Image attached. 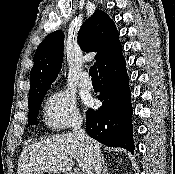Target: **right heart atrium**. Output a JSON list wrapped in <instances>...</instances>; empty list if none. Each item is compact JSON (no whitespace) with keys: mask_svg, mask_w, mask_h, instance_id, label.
Returning a JSON list of instances; mask_svg holds the SVG:
<instances>
[{"mask_svg":"<svg viewBox=\"0 0 175 174\" xmlns=\"http://www.w3.org/2000/svg\"><path fill=\"white\" fill-rule=\"evenodd\" d=\"M44 118L50 129L63 130L79 124L81 114L75 98L65 90H57L44 103Z\"/></svg>","mask_w":175,"mask_h":174,"instance_id":"d8ad5b80","label":"right heart atrium"}]
</instances>
